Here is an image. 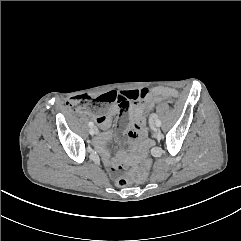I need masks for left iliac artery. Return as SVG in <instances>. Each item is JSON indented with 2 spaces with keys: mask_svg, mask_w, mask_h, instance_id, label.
Wrapping results in <instances>:
<instances>
[{
  "mask_svg": "<svg viewBox=\"0 0 241 241\" xmlns=\"http://www.w3.org/2000/svg\"><path fill=\"white\" fill-rule=\"evenodd\" d=\"M156 125H157L158 127L161 126V121H160L159 119H156Z\"/></svg>",
  "mask_w": 241,
  "mask_h": 241,
  "instance_id": "obj_1",
  "label": "left iliac artery"
}]
</instances>
